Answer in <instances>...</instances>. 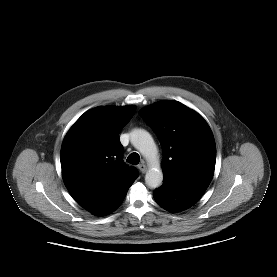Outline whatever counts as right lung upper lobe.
I'll list each match as a JSON object with an SVG mask.
<instances>
[{"label": "right lung upper lobe", "instance_id": "1", "mask_svg": "<svg viewBox=\"0 0 277 277\" xmlns=\"http://www.w3.org/2000/svg\"><path fill=\"white\" fill-rule=\"evenodd\" d=\"M134 106L96 107L70 128L61 148L64 183L71 196L95 212L134 182L137 172L122 160L121 129L130 121Z\"/></svg>", "mask_w": 277, "mask_h": 277}]
</instances>
